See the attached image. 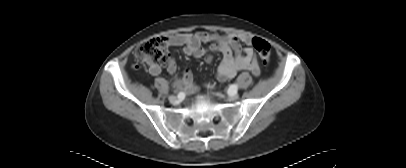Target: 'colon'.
Listing matches in <instances>:
<instances>
[{"label": "colon", "instance_id": "1", "mask_svg": "<svg viewBox=\"0 0 406 168\" xmlns=\"http://www.w3.org/2000/svg\"><path fill=\"white\" fill-rule=\"evenodd\" d=\"M251 44L261 57L263 63L270 62V45L260 38L253 37ZM168 41L165 37L155 36L142 42L135 50V57L142 63L148 65H161L168 59Z\"/></svg>", "mask_w": 406, "mask_h": 168}]
</instances>
